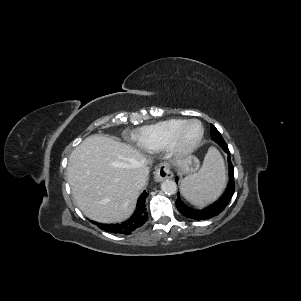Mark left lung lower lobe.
<instances>
[{"label":"left lung lower lobe","mask_w":301,"mask_h":301,"mask_svg":"<svg viewBox=\"0 0 301 301\" xmlns=\"http://www.w3.org/2000/svg\"><path fill=\"white\" fill-rule=\"evenodd\" d=\"M211 138L213 139V141L218 143L222 147V149L228 154L229 182H228V185H227V188H226L224 194L218 200H216L214 203H212L211 205H209L203 209H193V208L187 207L181 201L180 197L178 196V199L176 200L175 203H176V207L179 210V212L181 214H183L185 217L193 219V220H197V221L210 219V218L218 215L220 212H222L226 208L228 203L230 202V200L234 194V191H235L234 169H233V165L231 163L230 152H229L228 146H227L226 142L224 141V139L221 138L220 136H218L214 132L211 133ZM177 181H178V178H176V182Z\"/></svg>","instance_id":"left-lung-lower-lobe-1"}]
</instances>
